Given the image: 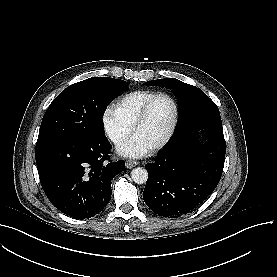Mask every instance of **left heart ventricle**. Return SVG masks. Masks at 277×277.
Listing matches in <instances>:
<instances>
[{
    "mask_svg": "<svg viewBox=\"0 0 277 277\" xmlns=\"http://www.w3.org/2000/svg\"><path fill=\"white\" fill-rule=\"evenodd\" d=\"M172 116V105L165 99H157L150 106L140 125L137 137L146 144L158 142L165 135Z\"/></svg>",
    "mask_w": 277,
    "mask_h": 277,
    "instance_id": "obj_1",
    "label": "left heart ventricle"
}]
</instances>
